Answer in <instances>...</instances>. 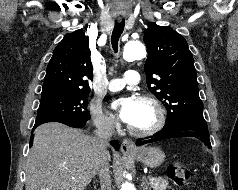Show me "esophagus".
Masks as SVG:
<instances>
[{"label":"esophagus","instance_id":"34e87169","mask_svg":"<svg viewBox=\"0 0 238 190\" xmlns=\"http://www.w3.org/2000/svg\"><path fill=\"white\" fill-rule=\"evenodd\" d=\"M121 151L123 153L136 151L134 142L130 139H124L121 143Z\"/></svg>","mask_w":238,"mask_h":190}]
</instances>
